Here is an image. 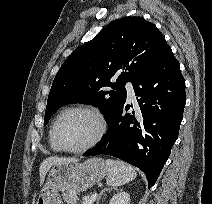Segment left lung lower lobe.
I'll use <instances>...</instances> for the list:
<instances>
[{
	"instance_id": "obj_1",
	"label": "left lung lower lobe",
	"mask_w": 212,
	"mask_h": 204,
	"mask_svg": "<svg viewBox=\"0 0 212 204\" xmlns=\"http://www.w3.org/2000/svg\"><path fill=\"white\" fill-rule=\"evenodd\" d=\"M140 114H123L121 104L108 119V132L84 156L107 154L141 169L152 187L174 145L186 103L185 80L171 48L133 84ZM132 107V106H131Z\"/></svg>"
}]
</instances>
